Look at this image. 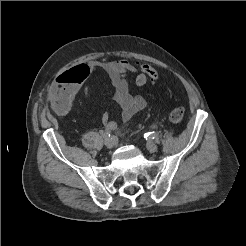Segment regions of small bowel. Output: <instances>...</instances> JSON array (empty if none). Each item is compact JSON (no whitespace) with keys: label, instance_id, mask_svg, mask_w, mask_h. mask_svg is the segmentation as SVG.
<instances>
[{"label":"small bowel","instance_id":"small-bowel-1","mask_svg":"<svg viewBox=\"0 0 246 246\" xmlns=\"http://www.w3.org/2000/svg\"><path fill=\"white\" fill-rule=\"evenodd\" d=\"M96 71H101L109 78L114 88L113 98L121 108L124 121H129L146 107L145 98L132 94L126 80L128 73L136 71L135 66L125 59H120L109 62L90 61L61 73L47 96L52 111L58 116L67 115L74 107V99L82 83ZM102 122L107 130L113 131L117 128V123L111 120L107 113L103 114Z\"/></svg>","mask_w":246,"mask_h":246}]
</instances>
